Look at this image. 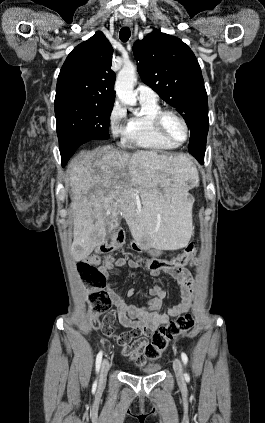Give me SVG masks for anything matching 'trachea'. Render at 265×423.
<instances>
[{
	"instance_id": "1",
	"label": "trachea",
	"mask_w": 265,
	"mask_h": 423,
	"mask_svg": "<svg viewBox=\"0 0 265 423\" xmlns=\"http://www.w3.org/2000/svg\"><path fill=\"white\" fill-rule=\"evenodd\" d=\"M130 29L128 27H123L119 32V38L122 42H127L130 37Z\"/></svg>"
}]
</instances>
